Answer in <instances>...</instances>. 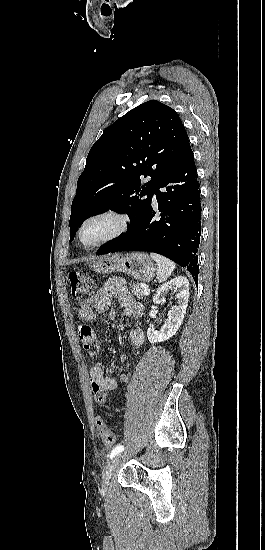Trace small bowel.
Returning <instances> with one entry per match:
<instances>
[{
    "label": "small bowel",
    "mask_w": 265,
    "mask_h": 550,
    "mask_svg": "<svg viewBox=\"0 0 265 550\" xmlns=\"http://www.w3.org/2000/svg\"><path fill=\"white\" fill-rule=\"evenodd\" d=\"M116 299L124 314L137 320L143 315V305L137 302L129 293L127 285L123 279L112 278L107 280L96 294L90 298L84 299L78 309V317L82 321H92L95 319V312L104 313L110 311L111 317H116L117 313L112 308V301ZM79 337L83 344V349L87 359L90 361L89 377L90 386L93 393V385H97L106 395L124 387L128 378L121 369H106L98 362L100 343L97 340L96 332L89 326H82L79 331ZM127 340L132 346H141L144 341V333L138 327H132L127 334ZM124 356L120 361L123 362Z\"/></svg>",
    "instance_id": "1"
}]
</instances>
